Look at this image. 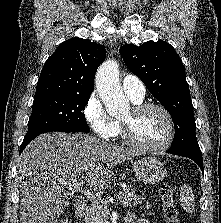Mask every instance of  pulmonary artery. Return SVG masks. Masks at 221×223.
<instances>
[{
	"label": "pulmonary artery",
	"mask_w": 221,
	"mask_h": 223,
	"mask_svg": "<svg viewBox=\"0 0 221 223\" xmlns=\"http://www.w3.org/2000/svg\"><path fill=\"white\" fill-rule=\"evenodd\" d=\"M122 88L131 100L139 101L145 97V86L136 76H125L122 79Z\"/></svg>",
	"instance_id": "obj_1"
}]
</instances>
